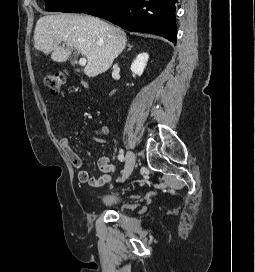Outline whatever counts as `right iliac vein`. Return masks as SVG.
<instances>
[{
  "label": "right iliac vein",
  "instance_id": "1",
  "mask_svg": "<svg viewBox=\"0 0 255 272\" xmlns=\"http://www.w3.org/2000/svg\"><path fill=\"white\" fill-rule=\"evenodd\" d=\"M135 162H136L135 154L129 151L126 155V165L122 174L121 181H125L131 175L135 167Z\"/></svg>",
  "mask_w": 255,
  "mask_h": 272
}]
</instances>
